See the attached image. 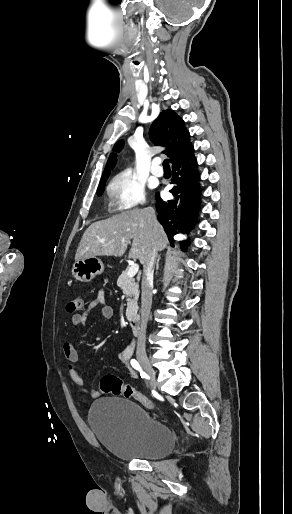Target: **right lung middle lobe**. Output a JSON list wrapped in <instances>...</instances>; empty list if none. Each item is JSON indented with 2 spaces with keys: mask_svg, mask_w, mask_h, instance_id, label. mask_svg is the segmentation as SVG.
Returning a JSON list of instances; mask_svg holds the SVG:
<instances>
[{
  "mask_svg": "<svg viewBox=\"0 0 292 514\" xmlns=\"http://www.w3.org/2000/svg\"><path fill=\"white\" fill-rule=\"evenodd\" d=\"M105 183H106V180L100 182V185H99V188H98V191H97V195L98 196L102 195V193L104 191V188H105Z\"/></svg>",
  "mask_w": 292,
  "mask_h": 514,
  "instance_id": "dd1d6c3e",
  "label": "right lung middle lobe"
}]
</instances>
